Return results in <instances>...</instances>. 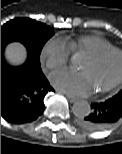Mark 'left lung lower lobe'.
<instances>
[{
    "label": "left lung lower lobe",
    "instance_id": "1",
    "mask_svg": "<svg viewBox=\"0 0 122 154\" xmlns=\"http://www.w3.org/2000/svg\"><path fill=\"white\" fill-rule=\"evenodd\" d=\"M122 118V95H115L104 102L91 104L88 115L79 119L86 130L101 131L109 128Z\"/></svg>",
    "mask_w": 122,
    "mask_h": 154
}]
</instances>
